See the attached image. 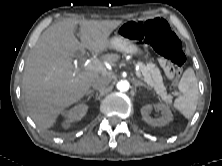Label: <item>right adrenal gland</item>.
<instances>
[{
    "mask_svg": "<svg viewBox=\"0 0 222 166\" xmlns=\"http://www.w3.org/2000/svg\"><path fill=\"white\" fill-rule=\"evenodd\" d=\"M94 92H95V90L90 89V90L87 91L86 95L88 96L89 94H92Z\"/></svg>",
    "mask_w": 222,
    "mask_h": 166,
    "instance_id": "obj_1",
    "label": "right adrenal gland"
}]
</instances>
